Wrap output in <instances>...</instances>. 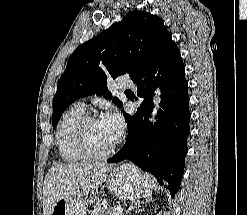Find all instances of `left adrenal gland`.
I'll list each match as a JSON object with an SVG mask.
<instances>
[{
	"label": "left adrenal gland",
	"instance_id": "left-adrenal-gland-1",
	"mask_svg": "<svg viewBox=\"0 0 247 215\" xmlns=\"http://www.w3.org/2000/svg\"><path fill=\"white\" fill-rule=\"evenodd\" d=\"M149 201H150V199H146L145 201H144V200H142V201H136V202L134 203V205H131V206H130V208L128 209V212L134 210V208H136L137 206H140V205L143 204L144 202H149Z\"/></svg>",
	"mask_w": 247,
	"mask_h": 215
}]
</instances>
